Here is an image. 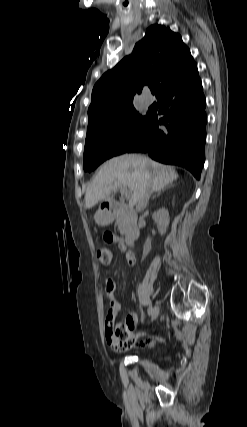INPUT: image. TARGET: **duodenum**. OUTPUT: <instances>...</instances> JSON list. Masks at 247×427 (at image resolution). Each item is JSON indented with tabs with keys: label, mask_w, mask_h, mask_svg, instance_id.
<instances>
[{
	"label": "duodenum",
	"mask_w": 247,
	"mask_h": 427,
	"mask_svg": "<svg viewBox=\"0 0 247 427\" xmlns=\"http://www.w3.org/2000/svg\"><path fill=\"white\" fill-rule=\"evenodd\" d=\"M105 214L110 217L122 215L127 220V227L124 237L126 246H133L140 235V228L137 222V215L134 209L118 201H107L103 205Z\"/></svg>",
	"instance_id": "1"
}]
</instances>
